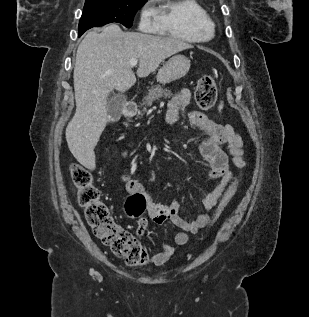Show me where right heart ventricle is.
<instances>
[{"label":"right heart ventricle","mask_w":309,"mask_h":317,"mask_svg":"<svg viewBox=\"0 0 309 317\" xmlns=\"http://www.w3.org/2000/svg\"><path fill=\"white\" fill-rule=\"evenodd\" d=\"M157 30L174 38L199 43L210 40L214 23L197 0H158Z\"/></svg>","instance_id":"obj_1"}]
</instances>
